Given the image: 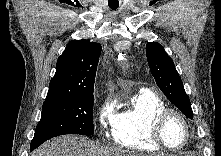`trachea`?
Returning a JSON list of instances; mask_svg holds the SVG:
<instances>
[{
    "instance_id": "3493384b",
    "label": "trachea",
    "mask_w": 221,
    "mask_h": 156,
    "mask_svg": "<svg viewBox=\"0 0 221 156\" xmlns=\"http://www.w3.org/2000/svg\"><path fill=\"white\" fill-rule=\"evenodd\" d=\"M111 1H116V2H111ZM108 5L111 9H117L119 7V2L118 0H109Z\"/></svg>"
}]
</instances>
